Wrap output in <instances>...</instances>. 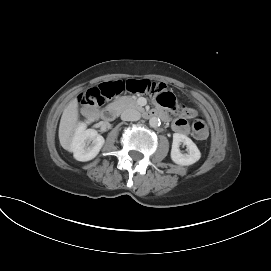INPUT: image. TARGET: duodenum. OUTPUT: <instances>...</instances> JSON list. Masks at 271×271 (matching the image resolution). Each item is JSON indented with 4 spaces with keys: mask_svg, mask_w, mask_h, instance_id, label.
Returning a JSON list of instances; mask_svg holds the SVG:
<instances>
[{
    "mask_svg": "<svg viewBox=\"0 0 271 271\" xmlns=\"http://www.w3.org/2000/svg\"><path fill=\"white\" fill-rule=\"evenodd\" d=\"M117 114H118L117 107L109 106L101 112L100 117L104 122H111L116 118ZM87 115L91 118H95L98 114L96 113L95 110H90L87 111ZM144 116L147 118L160 117L163 120H167V115L161 110H151L145 112Z\"/></svg>",
    "mask_w": 271,
    "mask_h": 271,
    "instance_id": "1",
    "label": "duodenum"
}]
</instances>
